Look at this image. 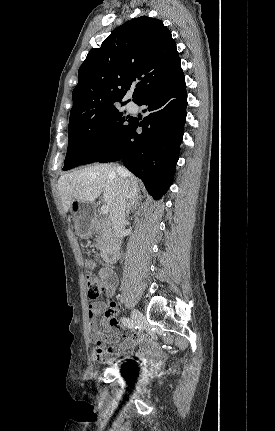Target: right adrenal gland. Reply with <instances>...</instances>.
Here are the masks:
<instances>
[{
    "label": "right adrenal gland",
    "instance_id": "1",
    "mask_svg": "<svg viewBox=\"0 0 275 431\" xmlns=\"http://www.w3.org/2000/svg\"><path fill=\"white\" fill-rule=\"evenodd\" d=\"M139 200H141L140 196H136L133 197L129 200L128 204H127V210L126 213L129 214L131 208L135 205H137L139 203Z\"/></svg>",
    "mask_w": 275,
    "mask_h": 431
}]
</instances>
